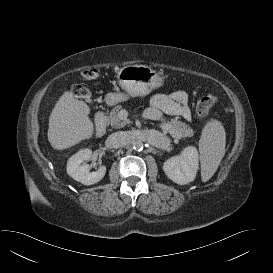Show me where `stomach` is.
I'll list each match as a JSON object with an SVG mask.
<instances>
[{
    "instance_id": "0dacf381",
    "label": "stomach",
    "mask_w": 273,
    "mask_h": 273,
    "mask_svg": "<svg viewBox=\"0 0 273 273\" xmlns=\"http://www.w3.org/2000/svg\"><path fill=\"white\" fill-rule=\"evenodd\" d=\"M116 77L125 93H108L105 102L111 106L126 101L129 97L146 96L164 82L157 71L144 65L125 66L118 71Z\"/></svg>"
}]
</instances>
